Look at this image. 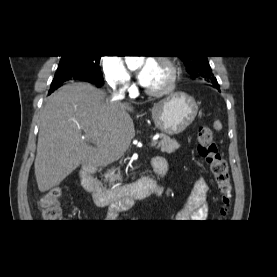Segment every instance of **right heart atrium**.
Wrapping results in <instances>:
<instances>
[{
  "instance_id": "d8ad5b80",
  "label": "right heart atrium",
  "mask_w": 277,
  "mask_h": 277,
  "mask_svg": "<svg viewBox=\"0 0 277 277\" xmlns=\"http://www.w3.org/2000/svg\"><path fill=\"white\" fill-rule=\"evenodd\" d=\"M101 68L106 83L113 89L126 90L131 83V75L118 55H105Z\"/></svg>"
}]
</instances>
